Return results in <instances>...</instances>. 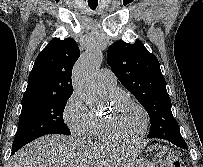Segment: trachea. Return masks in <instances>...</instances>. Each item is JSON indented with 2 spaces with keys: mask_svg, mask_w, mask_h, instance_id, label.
Returning <instances> with one entry per match:
<instances>
[{
  "mask_svg": "<svg viewBox=\"0 0 203 167\" xmlns=\"http://www.w3.org/2000/svg\"><path fill=\"white\" fill-rule=\"evenodd\" d=\"M88 5L92 10H94V9H96L98 3H88Z\"/></svg>",
  "mask_w": 203,
  "mask_h": 167,
  "instance_id": "3493384b",
  "label": "trachea"
}]
</instances>
